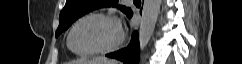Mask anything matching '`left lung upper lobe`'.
I'll return each instance as SVG.
<instances>
[{"label": "left lung upper lobe", "mask_w": 242, "mask_h": 64, "mask_svg": "<svg viewBox=\"0 0 242 64\" xmlns=\"http://www.w3.org/2000/svg\"><path fill=\"white\" fill-rule=\"evenodd\" d=\"M118 0H66L65 7L60 12L59 26L56 37L67 30L69 26L86 13L102 7H116ZM127 16L131 12L130 8L117 5Z\"/></svg>", "instance_id": "1"}]
</instances>
